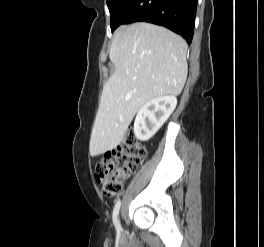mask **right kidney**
<instances>
[{"instance_id":"1","label":"right kidney","mask_w":264,"mask_h":247,"mask_svg":"<svg viewBox=\"0 0 264 247\" xmlns=\"http://www.w3.org/2000/svg\"><path fill=\"white\" fill-rule=\"evenodd\" d=\"M177 105V98L165 95L150 100L137 113L134 134L140 141L149 140L165 123Z\"/></svg>"}]
</instances>
